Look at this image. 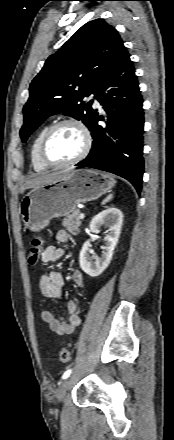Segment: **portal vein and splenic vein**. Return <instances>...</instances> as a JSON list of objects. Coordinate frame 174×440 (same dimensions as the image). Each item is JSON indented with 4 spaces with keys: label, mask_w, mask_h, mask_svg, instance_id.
<instances>
[{
    "label": "portal vein and splenic vein",
    "mask_w": 174,
    "mask_h": 440,
    "mask_svg": "<svg viewBox=\"0 0 174 440\" xmlns=\"http://www.w3.org/2000/svg\"><path fill=\"white\" fill-rule=\"evenodd\" d=\"M84 218H85V215H84L83 213H81V214L79 215V219L83 220Z\"/></svg>",
    "instance_id": "obj_1"
}]
</instances>
